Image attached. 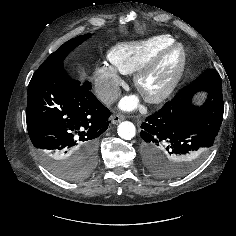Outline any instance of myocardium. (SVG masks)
I'll return each mask as SVG.
<instances>
[{
  "mask_svg": "<svg viewBox=\"0 0 236 236\" xmlns=\"http://www.w3.org/2000/svg\"><path fill=\"white\" fill-rule=\"evenodd\" d=\"M176 55L177 64L170 81L159 91L150 92L144 87V79L152 73L156 67L170 55ZM186 68V53L182 45L172 44L146 61L134 74V85L143 98L150 103H160L169 98L180 84Z\"/></svg>",
  "mask_w": 236,
  "mask_h": 236,
  "instance_id": "1",
  "label": "myocardium"
}]
</instances>
